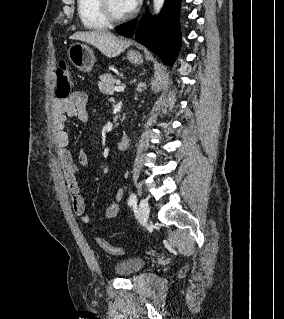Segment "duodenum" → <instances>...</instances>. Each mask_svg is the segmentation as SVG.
I'll list each match as a JSON object with an SVG mask.
<instances>
[{
    "label": "duodenum",
    "instance_id": "obj_1",
    "mask_svg": "<svg viewBox=\"0 0 284 319\" xmlns=\"http://www.w3.org/2000/svg\"><path fill=\"white\" fill-rule=\"evenodd\" d=\"M130 139L128 136H124L116 145L118 150H126L129 147Z\"/></svg>",
    "mask_w": 284,
    "mask_h": 319
}]
</instances>
